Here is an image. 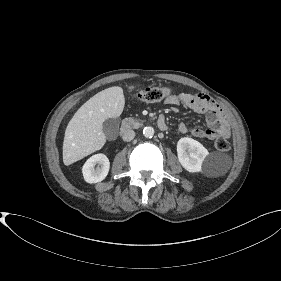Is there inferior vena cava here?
Masks as SVG:
<instances>
[{
	"label": "inferior vena cava",
	"mask_w": 281,
	"mask_h": 281,
	"mask_svg": "<svg viewBox=\"0 0 281 281\" xmlns=\"http://www.w3.org/2000/svg\"><path fill=\"white\" fill-rule=\"evenodd\" d=\"M135 137V132L133 130H126L123 134H122V139L125 142H129L131 140H133V138Z\"/></svg>",
	"instance_id": "1"
}]
</instances>
